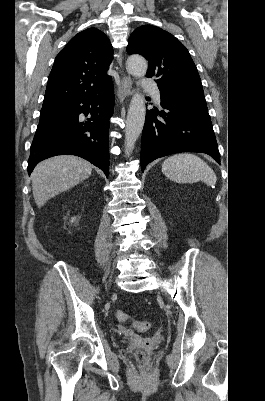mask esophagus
<instances>
[{"label":"esophagus","instance_id":"1","mask_svg":"<svg viewBox=\"0 0 265 401\" xmlns=\"http://www.w3.org/2000/svg\"><path fill=\"white\" fill-rule=\"evenodd\" d=\"M117 61H118L119 66L122 68L121 50L119 51V56L117 57ZM131 86H132L131 77L129 75L123 74L121 76V80H120L121 93H118V98L124 99V98L129 97L132 93Z\"/></svg>","mask_w":265,"mask_h":401}]
</instances>
